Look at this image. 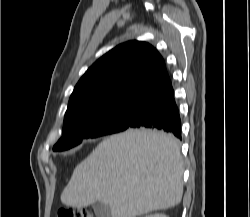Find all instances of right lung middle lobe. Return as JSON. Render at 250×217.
I'll return each mask as SVG.
<instances>
[{
  "instance_id": "obj_1",
  "label": "right lung middle lobe",
  "mask_w": 250,
  "mask_h": 217,
  "mask_svg": "<svg viewBox=\"0 0 250 217\" xmlns=\"http://www.w3.org/2000/svg\"><path fill=\"white\" fill-rule=\"evenodd\" d=\"M139 102L115 104L109 107L79 114L64 121L62 138L54 145V151L70 149L83 139L114 134L129 128Z\"/></svg>"
}]
</instances>
